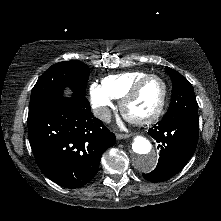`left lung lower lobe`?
I'll return each mask as SVG.
<instances>
[{
  "mask_svg": "<svg viewBox=\"0 0 221 221\" xmlns=\"http://www.w3.org/2000/svg\"><path fill=\"white\" fill-rule=\"evenodd\" d=\"M148 132L159 143L160 158L156 168L143 174V177L150 181L163 182L181 171L194 153L199 126L185 117H172L162 119Z\"/></svg>",
  "mask_w": 221,
  "mask_h": 221,
  "instance_id": "1",
  "label": "left lung lower lobe"
}]
</instances>
